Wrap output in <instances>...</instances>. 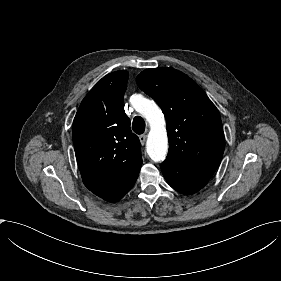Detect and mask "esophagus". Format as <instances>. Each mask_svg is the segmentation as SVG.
Segmentation results:
<instances>
[{"label":"esophagus","mask_w":281,"mask_h":281,"mask_svg":"<svg viewBox=\"0 0 281 281\" xmlns=\"http://www.w3.org/2000/svg\"><path fill=\"white\" fill-rule=\"evenodd\" d=\"M139 139H140L141 144L144 145L145 141H146V135L145 134L140 135Z\"/></svg>","instance_id":"esophagus-1"}]
</instances>
